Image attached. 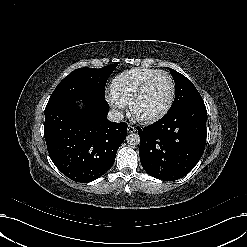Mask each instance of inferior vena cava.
Instances as JSON below:
<instances>
[{
	"mask_svg": "<svg viewBox=\"0 0 247 247\" xmlns=\"http://www.w3.org/2000/svg\"><path fill=\"white\" fill-rule=\"evenodd\" d=\"M107 118L111 122H121L124 118L123 112L118 109H111L108 112Z\"/></svg>",
	"mask_w": 247,
	"mask_h": 247,
	"instance_id": "602c4592",
	"label": "inferior vena cava"
}]
</instances>
